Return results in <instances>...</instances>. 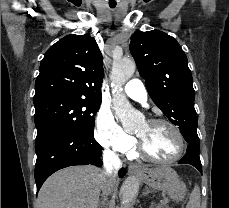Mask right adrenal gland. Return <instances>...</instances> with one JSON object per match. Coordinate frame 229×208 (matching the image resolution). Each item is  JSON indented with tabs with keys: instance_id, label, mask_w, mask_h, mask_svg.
Returning a JSON list of instances; mask_svg holds the SVG:
<instances>
[{
	"instance_id": "1",
	"label": "right adrenal gland",
	"mask_w": 229,
	"mask_h": 208,
	"mask_svg": "<svg viewBox=\"0 0 229 208\" xmlns=\"http://www.w3.org/2000/svg\"><path fill=\"white\" fill-rule=\"evenodd\" d=\"M106 200H107V196H103V202H99V208H104Z\"/></svg>"
}]
</instances>
